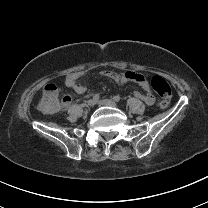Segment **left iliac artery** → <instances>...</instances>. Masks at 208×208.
<instances>
[{"instance_id": "left-iliac-artery-1", "label": "left iliac artery", "mask_w": 208, "mask_h": 208, "mask_svg": "<svg viewBox=\"0 0 208 208\" xmlns=\"http://www.w3.org/2000/svg\"><path fill=\"white\" fill-rule=\"evenodd\" d=\"M113 99H114L115 101L119 102L121 98H120V96L116 95V96H113Z\"/></svg>"}]
</instances>
